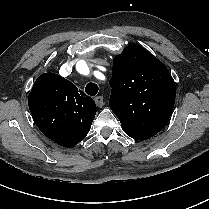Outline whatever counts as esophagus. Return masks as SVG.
I'll return each mask as SVG.
<instances>
[{"instance_id":"34e87169","label":"esophagus","mask_w":209,"mask_h":209,"mask_svg":"<svg viewBox=\"0 0 209 209\" xmlns=\"http://www.w3.org/2000/svg\"><path fill=\"white\" fill-rule=\"evenodd\" d=\"M95 103H96V105H97L99 108L103 107V105H104V98H103V96H97V97L95 98Z\"/></svg>"}]
</instances>
